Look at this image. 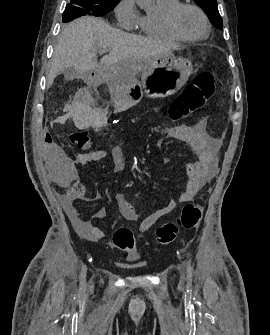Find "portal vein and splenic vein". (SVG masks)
I'll use <instances>...</instances> for the list:
<instances>
[{"label": "portal vein and splenic vein", "mask_w": 270, "mask_h": 335, "mask_svg": "<svg viewBox=\"0 0 270 335\" xmlns=\"http://www.w3.org/2000/svg\"><path fill=\"white\" fill-rule=\"evenodd\" d=\"M107 50H100L99 54H106Z\"/></svg>", "instance_id": "1"}]
</instances>
